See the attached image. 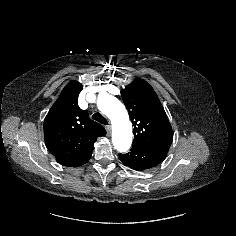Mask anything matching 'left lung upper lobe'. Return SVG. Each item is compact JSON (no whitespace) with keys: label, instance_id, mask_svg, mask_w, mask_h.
Returning a JSON list of instances; mask_svg holds the SVG:
<instances>
[{"label":"left lung upper lobe","instance_id":"1","mask_svg":"<svg viewBox=\"0 0 236 236\" xmlns=\"http://www.w3.org/2000/svg\"><path fill=\"white\" fill-rule=\"evenodd\" d=\"M134 126L133 146L170 148L173 130L164 108L150 84L137 80L121 91Z\"/></svg>","mask_w":236,"mask_h":236}]
</instances>
